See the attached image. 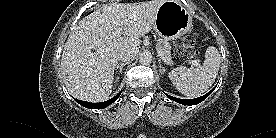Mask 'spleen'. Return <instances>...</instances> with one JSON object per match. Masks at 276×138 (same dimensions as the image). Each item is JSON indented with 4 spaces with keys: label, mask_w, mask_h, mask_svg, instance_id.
I'll list each match as a JSON object with an SVG mask.
<instances>
[{
    "label": "spleen",
    "mask_w": 276,
    "mask_h": 138,
    "mask_svg": "<svg viewBox=\"0 0 276 138\" xmlns=\"http://www.w3.org/2000/svg\"><path fill=\"white\" fill-rule=\"evenodd\" d=\"M221 57L216 47L209 46L200 68L185 66L174 68L169 78L179 92L187 97H195L207 91L214 83L220 68Z\"/></svg>",
    "instance_id": "3e777b00"
}]
</instances>
